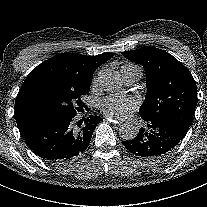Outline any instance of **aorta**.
I'll use <instances>...</instances> for the list:
<instances>
[{
    "mask_svg": "<svg viewBox=\"0 0 207 207\" xmlns=\"http://www.w3.org/2000/svg\"><path fill=\"white\" fill-rule=\"evenodd\" d=\"M99 85L107 92H116L122 86V78L119 73L110 69L100 70L98 73ZM138 134V128L133 123H123L119 128L120 137L129 141L134 139Z\"/></svg>",
    "mask_w": 207,
    "mask_h": 207,
    "instance_id": "aorta-1",
    "label": "aorta"
}]
</instances>
